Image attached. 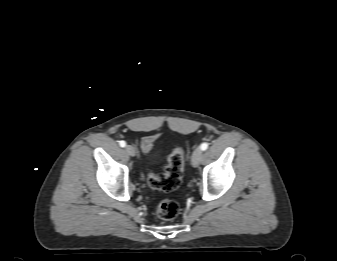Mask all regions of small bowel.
<instances>
[{
    "label": "small bowel",
    "mask_w": 337,
    "mask_h": 261,
    "mask_svg": "<svg viewBox=\"0 0 337 261\" xmlns=\"http://www.w3.org/2000/svg\"><path fill=\"white\" fill-rule=\"evenodd\" d=\"M159 137V134H151L148 136H145L140 141V147L143 151V153L147 154L151 151L153 148L154 142Z\"/></svg>",
    "instance_id": "small-bowel-1"
}]
</instances>
